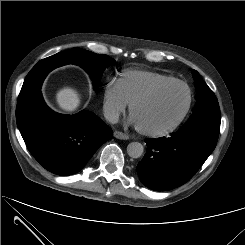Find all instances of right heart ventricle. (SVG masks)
<instances>
[{
    "instance_id": "obj_1",
    "label": "right heart ventricle",
    "mask_w": 245,
    "mask_h": 245,
    "mask_svg": "<svg viewBox=\"0 0 245 245\" xmlns=\"http://www.w3.org/2000/svg\"><path fill=\"white\" fill-rule=\"evenodd\" d=\"M172 79L174 78L159 72L133 70L124 72L118 79V85L126 102L130 104L156 85Z\"/></svg>"
}]
</instances>
